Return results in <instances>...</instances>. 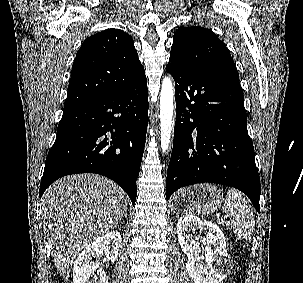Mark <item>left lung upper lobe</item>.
<instances>
[{
  "label": "left lung upper lobe",
  "instance_id": "left-lung-upper-lobe-1",
  "mask_svg": "<svg viewBox=\"0 0 303 283\" xmlns=\"http://www.w3.org/2000/svg\"><path fill=\"white\" fill-rule=\"evenodd\" d=\"M169 62L187 70L221 68L238 73L226 45L211 30L198 26L176 30Z\"/></svg>",
  "mask_w": 303,
  "mask_h": 283
}]
</instances>
